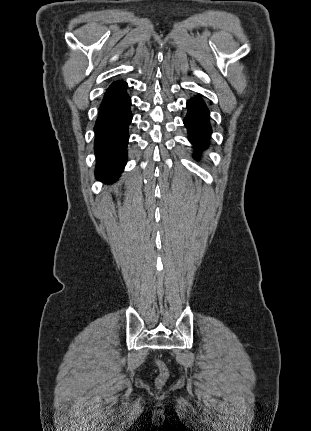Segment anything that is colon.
Masks as SVG:
<instances>
[{
  "label": "colon",
  "mask_w": 311,
  "mask_h": 431,
  "mask_svg": "<svg viewBox=\"0 0 311 431\" xmlns=\"http://www.w3.org/2000/svg\"><path fill=\"white\" fill-rule=\"evenodd\" d=\"M155 364H156V366H157V368H158V370H159L158 382H159V383H163V382L166 380L167 376H168V369H167V366H166V364H165L162 360H160V359H156V360H155Z\"/></svg>",
  "instance_id": "5ec220e1"
}]
</instances>
